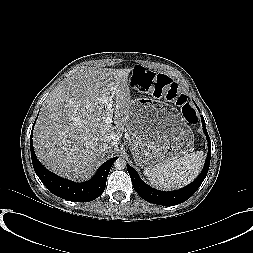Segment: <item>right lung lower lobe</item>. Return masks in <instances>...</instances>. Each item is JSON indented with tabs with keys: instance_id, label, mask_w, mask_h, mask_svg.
Returning a JSON list of instances; mask_svg holds the SVG:
<instances>
[{
	"instance_id": "1",
	"label": "right lung lower lobe",
	"mask_w": 253,
	"mask_h": 253,
	"mask_svg": "<svg viewBox=\"0 0 253 253\" xmlns=\"http://www.w3.org/2000/svg\"><path fill=\"white\" fill-rule=\"evenodd\" d=\"M35 124V122H34ZM33 124V126H34ZM33 131V127H32ZM31 158L37 176L47 189L56 196L75 202H89L99 197L106 186L107 176L117 157L103 163L89 181L75 183L48 171L37 159L30 137Z\"/></svg>"
}]
</instances>
